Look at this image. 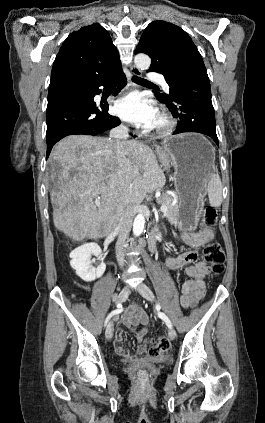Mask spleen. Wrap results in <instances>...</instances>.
<instances>
[{
	"label": "spleen",
	"instance_id": "spleen-1",
	"mask_svg": "<svg viewBox=\"0 0 265 423\" xmlns=\"http://www.w3.org/2000/svg\"><path fill=\"white\" fill-rule=\"evenodd\" d=\"M208 198L210 206L220 207L222 203V183L218 174H213L208 182Z\"/></svg>",
	"mask_w": 265,
	"mask_h": 423
}]
</instances>
